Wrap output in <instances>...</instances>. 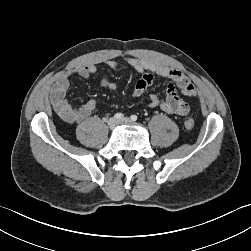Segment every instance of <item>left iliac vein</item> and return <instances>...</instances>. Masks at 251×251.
<instances>
[{"label": "left iliac vein", "instance_id": "1", "mask_svg": "<svg viewBox=\"0 0 251 251\" xmlns=\"http://www.w3.org/2000/svg\"><path fill=\"white\" fill-rule=\"evenodd\" d=\"M130 122V120L128 119V118H123V119H121L120 121H119V123H122V124H124V123H129Z\"/></svg>", "mask_w": 251, "mask_h": 251}]
</instances>
